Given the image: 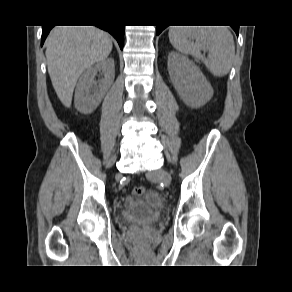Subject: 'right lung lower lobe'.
I'll list each match as a JSON object with an SVG mask.
<instances>
[{
    "mask_svg": "<svg viewBox=\"0 0 292 292\" xmlns=\"http://www.w3.org/2000/svg\"><path fill=\"white\" fill-rule=\"evenodd\" d=\"M98 27H100L101 29H104L106 31H108L109 33H111L116 40L118 41V44L120 46V48H123V42H124V26H117V25H98ZM52 26L51 27H47V26H42V38H41V45H43L48 33L50 32Z\"/></svg>",
    "mask_w": 292,
    "mask_h": 292,
    "instance_id": "98d812e1",
    "label": "right lung lower lobe"
}]
</instances>
